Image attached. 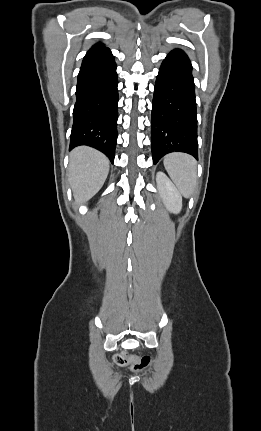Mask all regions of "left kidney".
<instances>
[{
	"label": "left kidney",
	"instance_id": "obj_1",
	"mask_svg": "<svg viewBox=\"0 0 261 431\" xmlns=\"http://www.w3.org/2000/svg\"><path fill=\"white\" fill-rule=\"evenodd\" d=\"M157 187L160 190V197L165 206L172 213H179L182 209V198L168 177L158 172L156 176Z\"/></svg>",
	"mask_w": 261,
	"mask_h": 431
}]
</instances>
